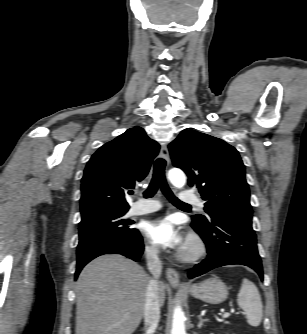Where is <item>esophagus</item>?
Returning a JSON list of instances; mask_svg holds the SVG:
<instances>
[{
  "label": "esophagus",
  "instance_id": "34e87169",
  "mask_svg": "<svg viewBox=\"0 0 307 334\" xmlns=\"http://www.w3.org/2000/svg\"><path fill=\"white\" fill-rule=\"evenodd\" d=\"M161 157L167 162V165L169 164V151H168V147L166 144L162 145L161 147V151H160ZM166 277L168 282L172 285V286H185V284L180 283L179 281V275L177 273V271L173 268H167L166 269Z\"/></svg>",
  "mask_w": 307,
  "mask_h": 334
}]
</instances>
